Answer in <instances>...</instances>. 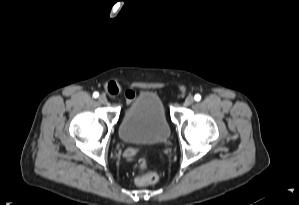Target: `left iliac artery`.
I'll return each mask as SVG.
<instances>
[{
	"label": "left iliac artery",
	"mask_w": 299,
	"mask_h": 205,
	"mask_svg": "<svg viewBox=\"0 0 299 205\" xmlns=\"http://www.w3.org/2000/svg\"><path fill=\"white\" fill-rule=\"evenodd\" d=\"M194 99H195L196 101H200V100H201V95H200V94H196V95L194 96Z\"/></svg>",
	"instance_id": "left-iliac-artery-1"
}]
</instances>
